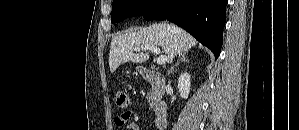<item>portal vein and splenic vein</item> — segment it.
Returning <instances> with one entry per match:
<instances>
[{
  "mask_svg": "<svg viewBox=\"0 0 299 130\" xmlns=\"http://www.w3.org/2000/svg\"><path fill=\"white\" fill-rule=\"evenodd\" d=\"M134 50L135 51H140V50L146 51V50H149V51L154 52L155 54H160L159 47L155 46V45H145V46H141V47H135ZM166 61H167V56L166 55H160L157 58V64L158 65H163V64L166 63Z\"/></svg>",
  "mask_w": 299,
  "mask_h": 130,
  "instance_id": "portal-vein-and-splenic-vein-1",
  "label": "portal vein and splenic vein"
}]
</instances>
